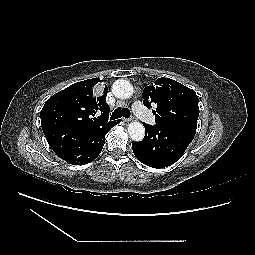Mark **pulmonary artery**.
Wrapping results in <instances>:
<instances>
[{
	"label": "pulmonary artery",
	"instance_id": "e3ab8cb5",
	"mask_svg": "<svg viewBox=\"0 0 255 255\" xmlns=\"http://www.w3.org/2000/svg\"><path fill=\"white\" fill-rule=\"evenodd\" d=\"M132 110L134 114L141 120L152 125L155 124V117L148 112L145 107H143L140 101H134L132 103Z\"/></svg>",
	"mask_w": 255,
	"mask_h": 255
}]
</instances>
